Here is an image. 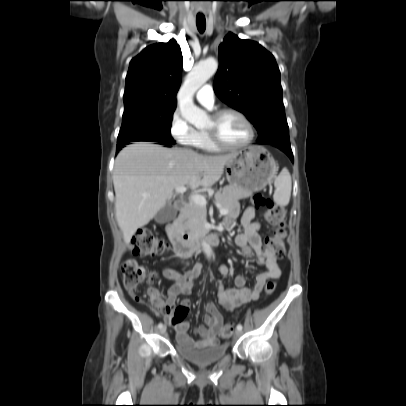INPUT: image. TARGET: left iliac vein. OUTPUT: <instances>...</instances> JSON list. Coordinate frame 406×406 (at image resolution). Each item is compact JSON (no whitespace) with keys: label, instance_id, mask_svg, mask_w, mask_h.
I'll return each mask as SVG.
<instances>
[{"label":"left iliac vein","instance_id":"left-iliac-vein-1","mask_svg":"<svg viewBox=\"0 0 406 406\" xmlns=\"http://www.w3.org/2000/svg\"><path fill=\"white\" fill-rule=\"evenodd\" d=\"M242 334V330H236L235 335L240 336Z\"/></svg>","mask_w":406,"mask_h":406}]
</instances>
